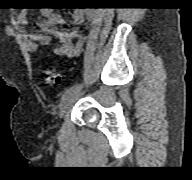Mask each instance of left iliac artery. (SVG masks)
<instances>
[{
  "label": "left iliac artery",
  "mask_w": 192,
  "mask_h": 180,
  "mask_svg": "<svg viewBox=\"0 0 192 180\" xmlns=\"http://www.w3.org/2000/svg\"><path fill=\"white\" fill-rule=\"evenodd\" d=\"M81 87V84L80 83H77L69 88H67L64 92H63V95H62V99H64L66 96H68L70 93L78 90L79 88Z\"/></svg>",
  "instance_id": "1"
}]
</instances>
